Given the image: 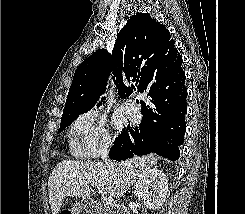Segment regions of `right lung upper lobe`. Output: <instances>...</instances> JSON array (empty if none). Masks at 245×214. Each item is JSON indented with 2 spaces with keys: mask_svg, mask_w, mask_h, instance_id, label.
<instances>
[{
  "mask_svg": "<svg viewBox=\"0 0 245 214\" xmlns=\"http://www.w3.org/2000/svg\"><path fill=\"white\" fill-rule=\"evenodd\" d=\"M181 64V55L165 26L147 13H137L119 32L112 54L99 49L76 69L63 114L90 110L104 93L111 71L120 99L132 92L125 80L134 82L142 93L153 70L165 67L173 77H185Z\"/></svg>",
  "mask_w": 245,
  "mask_h": 214,
  "instance_id": "1",
  "label": "right lung upper lobe"
}]
</instances>
